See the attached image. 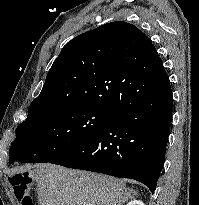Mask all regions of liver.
<instances>
[{
    "mask_svg": "<svg viewBox=\"0 0 199 205\" xmlns=\"http://www.w3.org/2000/svg\"><path fill=\"white\" fill-rule=\"evenodd\" d=\"M40 205H120L134 198L125 180L46 163L34 170Z\"/></svg>",
    "mask_w": 199,
    "mask_h": 205,
    "instance_id": "liver-1",
    "label": "liver"
}]
</instances>
